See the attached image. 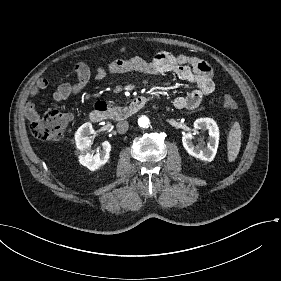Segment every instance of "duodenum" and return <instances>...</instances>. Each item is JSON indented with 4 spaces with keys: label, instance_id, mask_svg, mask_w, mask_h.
I'll return each instance as SVG.
<instances>
[{
    "label": "duodenum",
    "instance_id": "obj_1",
    "mask_svg": "<svg viewBox=\"0 0 281 281\" xmlns=\"http://www.w3.org/2000/svg\"><path fill=\"white\" fill-rule=\"evenodd\" d=\"M143 96L136 97L130 105L121 108H112L104 103H96L89 114V119L93 123H101L107 120L121 122L127 120L131 115L138 111L145 103Z\"/></svg>",
    "mask_w": 281,
    "mask_h": 281
}]
</instances>
